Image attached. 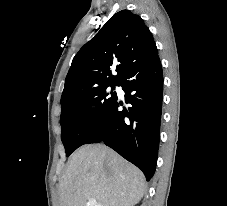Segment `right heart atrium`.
<instances>
[{
    "label": "right heart atrium",
    "mask_w": 227,
    "mask_h": 206,
    "mask_svg": "<svg viewBox=\"0 0 227 206\" xmlns=\"http://www.w3.org/2000/svg\"><path fill=\"white\" fill-rule=\"evenodd\" d=\"M96 113V107L94 105H91L89 107V114L94 115Z\"/></svg>",
    "instance_id": "obj_1"
}]
</instances>
